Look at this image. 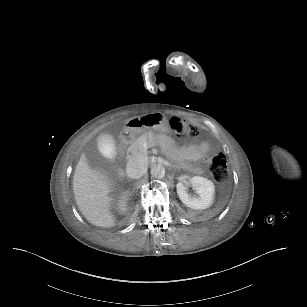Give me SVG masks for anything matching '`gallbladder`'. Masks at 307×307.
<instances>
[{"mask_svg": "<svg viewBox=\"0 0 307 307\" xmlns=\"http://www.w3.org/2000/svg\"><path fill=\"white\" fill-rule=\"evenodd\" d=\"M98 148L104 156H113L116 153V146L109 136H101L98 139Z\"/></svg>", "mask_w": 307, "mask_h": 307, "instance_id": "bac80fb5", "label": "gallbladder"}]
</instances>
